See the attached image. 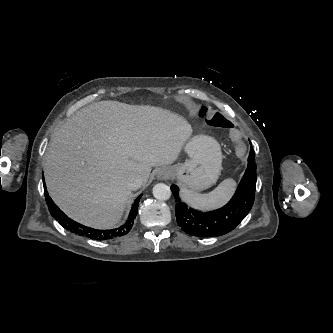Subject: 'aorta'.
Instances as JSON below:
<instances>
[{
	"instance_id": "1",
	"label": "aorta",
	"mask_w": 333,
	"mask_h": 333,
	"mask_svg": "<svg viewBox=\"0 0 333 333\" xmlns=\"http://www.w3.org/2000/svg\"><path fill=\"white\" fill-rule=\"evenodd\" d=\"M153 196L158 200H168L171 196V190L168 185L158 183L153 187Z\"/></svg>"
}]
</instances>
